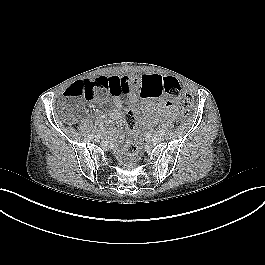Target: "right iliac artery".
Listing matches in <instances>:
<instances>
[{"mask_svg":"<svg viewBox=\"0 0 265 265\" xmlns=\"http://www.w3.org/2000/svg\"><path fill=\"white\" fill-rule=\"evenodd\" d=\"M89 139H93L94 138V135L93 134H90L88 135Z\"/></svg>","mask_w":265,"mask_h":265,"instance_id":"82829eb1","label":"right iliac artery"}]
</instances>
